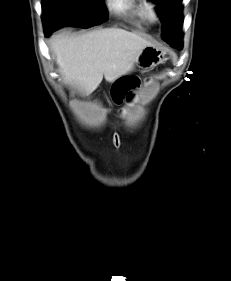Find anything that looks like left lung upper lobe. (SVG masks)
<instances>
[{
    "label": "left lung upper lobe",
    "mask_w": 231,
    "mask_h": 281,
    "mask_svg": "<svg viewBox=\"0 0 231 281\" xmlns=\"http://www.w3.org/2000/svg\"><path fill=\"white\" fill-rule=\"evenodd\" d=\"M157 4V12L163 22L162 37L166 42L173 45L170 37L173 31H181L182 19V0H151Z\"/></svg>",
    "instance_id": "1"
}]
</instances>
